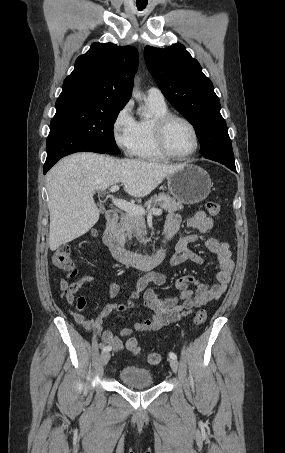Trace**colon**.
<instances>
[{"mask_svg": "<svg viewBox=\"0 0 285 453\" xmlns=\"http://www.w3.org/2000/svg\"><path fill=\"white\" fill-rule=\"evenodd\" d=\"M205 207L208 213L212 216H217L221 212V206L215 201H207ZM52 264L54 267L69 272L71 274L75 273V261L72 256V251L69 246L59 247L54 254L52 255ZM207 319V312L205 309H199L194 316V322L196 324H203ZM126 348L137 354L140 351L137 339L135 337H130L126 341ZM162 356L158 352H151L146 356V361L150 365H157L160 363Z\"/></svg>", "mask_w": 285, "mask_h": 453, "instance_id": "obj_1", "label": "colon"}]
</instances>
